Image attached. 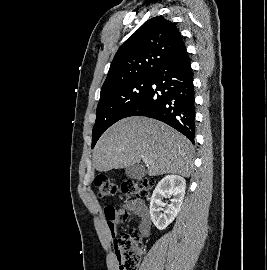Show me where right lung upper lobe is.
Wrapping results in <instances>:
<instances>
[{"label": "right lung upper lobe", "instance_id": "1", "mask_svg": "<svg viewBox=\"0 0 267 270\" xmlns=\"http://www.w3.org/2000/svg\"><path fill=\"white\" fill-rule=\"evenodd\" d=\"M183 44L174 23L162 16L149 19L118 49L101 91L133 79L151 77Z\"/></svg>", "mask_w": 267, "mask_h": 270}]
</instances>
